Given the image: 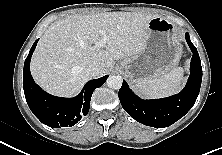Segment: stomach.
I'll use <instances>...</instances> for the list:
<instances>
[{
	"label": "stomach",
	"instance_id": "1",
	"mask_svg": "<svg viewBox=\"0 0 222 155\" xmlns=\"http://www.w3.org/2000/svg\"><path fill=\"white\" fill-rule=\"evenodd\" d=\"M144 51L124 58L120 63L126 77L136 83L139 79L160 77L175 68L181 57V45L175 26L161 17L147 23Z\"/></svg>",
	"mask_w": 222,
	"mask_h": 155
}]
</instances>
